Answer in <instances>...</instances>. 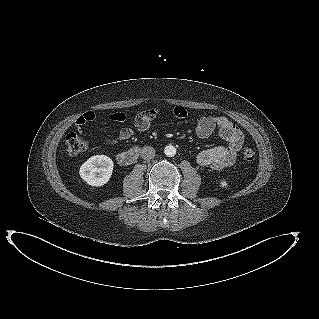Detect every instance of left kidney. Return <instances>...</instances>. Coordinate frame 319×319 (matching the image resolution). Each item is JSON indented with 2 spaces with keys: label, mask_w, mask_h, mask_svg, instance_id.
Listing matches in <instances>:
<instances>
[{
  "label": "left kidney",
  "mask_w": 319,
  "mask_h": 319,
  "mask_svg": "<svg viewBox=\"0 0 319 319\" xmlns=\"http://www.w3.org/2000/svg\"><path fill=\"white\" fill-rule=\"evenodd\" d=\"M220 186L221 187H227V182L225 181V180H222L221 182H220Z\"/></svg>",
  "instance_id": "1"
}]
</instances>
